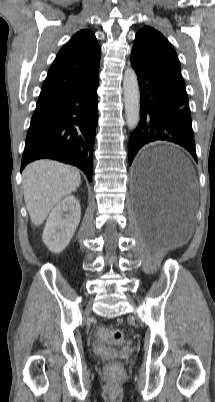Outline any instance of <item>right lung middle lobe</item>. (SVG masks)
Here are the masks:
<instances>
[{
    "label": "right lung middle lobe",
    "mask_w": 215,
    "mask_h": 402,
    "mask_svg": "<svg viewBox=\"0 0 215 402\" xmlns=\"http://www.w3.org/2000/svg\"><path fill=\"white\" fill-rule=\"evenodd\" d=\"M44 107H45V104H37L35 112L41 110Z\"/></svg>",
    "instance_id": "1"
}]
</instances>
